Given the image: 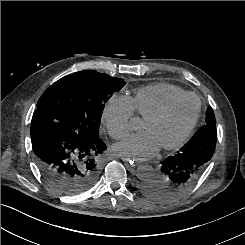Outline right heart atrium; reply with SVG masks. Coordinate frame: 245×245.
Returning <instances> with one entry per match:
<instances>
[{
	"instance_id": "obj_1",
	"label": "right heart atrium",
	"mask_w": 245,
	"mask_h": 245,
	"mask_svg": "<svg viewBox=\"0 0 245 245\" xmlns=\"http://www.w3.org/2000/svg\"><path fill=\"white\" fill-rule=\"evenodd\" d=\"M135 113L133 100L125 95L114 94L104 104L102 121L109 134L116 139L130 131V123Z\"/></svg>"
}]
</instances>
